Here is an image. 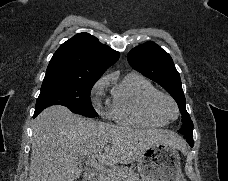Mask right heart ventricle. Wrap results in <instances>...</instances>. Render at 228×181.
<instances>
[{
    "instance_id": "e07e8e85",
    "label": "right heart ventricle",
    "mask_w": 228,
    "mask_h": 181,
    "mask_svg": "<svg viewBox=\"0 0 228 181\" xmlns=\"http://www.w3.org/2000/svg\"><path fill=\"white\" fill-rule=\"evenodd\" d=\"M103 86H111L110 115L119 123L156 127L163 119L149 116L144 108L146 98L156 93L153 85L143 76L120 71L109 73L102 81Z\"/></svg>"
}]
</instances>
